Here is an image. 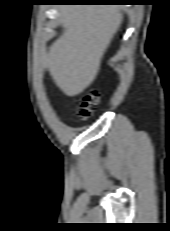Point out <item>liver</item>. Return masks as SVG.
Here are the masks:
<instances>
[{
    "label": "liver",
    "instance_id": "obj_1",
    "mask_svg": "<svg viewBox=\"0 0 170 231\" xmlns=\"http://www.w3.org/2000/svg\"><path fill=\"white\" fill-rule=\"evenodd\" d=\"M59 11L63 33L43 62L63 93L76 96L95 80L123 15L114 5H70Z\"/></svg>",
    "mask_w": 170,
    "mask_h": 231
}]
</instances>
